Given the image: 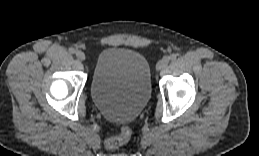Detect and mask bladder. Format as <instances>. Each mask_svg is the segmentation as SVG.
Instances as JSON below:
<instances>
[{
	"label": "bladder",
	"mask_w": 259,
	"mask_h": 156,
	"mask_svg": "<svg viewBox=\"0 0 259 156\" xmlns=\"http://www.w3.org/2000/svg\"><path fill=\"white\" fill-rule=\"evenodd\" d=\"M90 94L97 109L108 120H134L151 96V70L147 59L126 48L104 49L94 67Z\"/></svg>",
	"instance_id": "obj_1"
}]
</instances>
